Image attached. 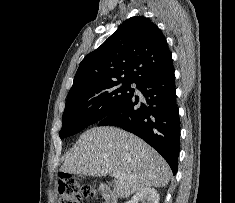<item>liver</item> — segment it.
I'll use <instances>...</instances> for the list:
<instances>
[{"label": "liver", "instance_id": "liver-1", "mask_svg": "<svg viewBox=\"0 0 235 203\" xmlns=\"http://www.w3.org/2000/svg\"><path fill=\"white\" fill-rule=\"evenodd\" d=\"M60 170L73 174L106 176L120 172L115 195L126 198L148 187H164L171 169L142 139L115 127H95L84 132L65 155Z\"/></svg>", "mask_w": 235, "mask_h": 203}]
</instances>
